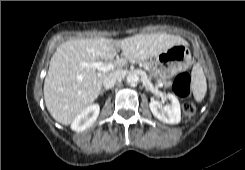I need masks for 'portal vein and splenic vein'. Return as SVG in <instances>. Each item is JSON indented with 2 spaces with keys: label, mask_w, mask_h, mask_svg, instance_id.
Instances as JSON below:
<instances>
[{
  "label": "portal vein and splenic vein",
  "mask_w": 245,
  "mask_h": 170,
  "mask_svg": "<svg viewBox=\"0 0 245 170\" xmlns=\"http://www.w3.org/2000/svg\"><path fill=\"white\" fill-rule=\"evenodd\" d=\"M80 65L82 67L95 68V69H98L99 71H103V72H107V71H110L111 69H113L112 64H105L102 61L92 62V63L81 62Z\"/></svg>",
  "instance_id": "portal-vein-and-splenic-vein-1"
}]
</instances>
